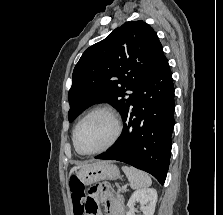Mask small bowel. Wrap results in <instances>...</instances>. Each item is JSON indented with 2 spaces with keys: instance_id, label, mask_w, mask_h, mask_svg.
Listing matches in <instances>:
<instances>
[{
  "instance_id": "1",
  "label": "small bowel",
  "mask_w": 223,
  "mask_h": 215,
  "mask_svg": "<svg viewBox=\"0 0 223 215\" xmlns=\"http://www.w3.org/2000/svg\"><path fill=\"white\" fill-rule=\"evenodd\" d=\"M86 200L92 208L86 215H101L98 202L104 203L108 215H124V198L116 194L107 183L92 186Z\"/></svg>"
}]
</instances>
